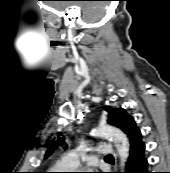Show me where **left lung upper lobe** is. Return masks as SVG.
<instances>
[{
  "mask_svg": "<svg viewBox=\"0 0 170 173\" xmlns=\"http://www.w3.org/2000/svg\"><path fill=\"white\" fill-rule=\"evenodd\" d=\"M103 108L108 112V123L117 126L128 136L130 149L142 141L141 132L136 126L134 118L129 116L124 109H112L110 107ZM63 141L64 139L60 138L53 143L47 150L45 157H48Z\"/></svg>",
  "mask_w": 170,
  "mask_h": 173,
  "instance_id": "obj_1",
  "label": "left lung upper lobe"
}]
</instances>
